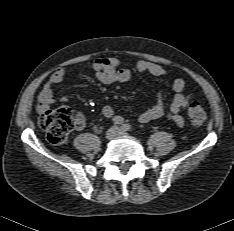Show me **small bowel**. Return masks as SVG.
<instances>
[{
  "label": "small bowel",
  "instance_id": "obj_1",
  "mask_svg": "<svg viewBox=\"0 0 234 231\" xmlns=\"http://www.w3.org/2000/svg\"><path fill=\"white\" fill-rule=\"evenodd\" d=\"M119 64V60L115 57H99L95 58L91 62L90 66L94 71L97 80L103 84L129 81L132 77L131 72L128 69L119 68ZM136 68L141 73L157 77L166 76L168 74V71L161 65L148 61H139ZM66 72V68H59L44 83L40 93L38 94L39 111H46L50 105L55 102L53 88L63 81ZM172 89L175 95L170 103L169 110H165L163 105V95L160 92L155 104L145 108L139 115V121L141 123L167 118L178 127L184 126V118L181 115V112L187 107L193 96L185 92V81L182 78H177L173 81ZM60 100L62 102H66L68 98L64 96ZM101 112L105 117L112 118V120L116 117L114 116V110L110 105H102ZM84 125L85 121L83 115L77 114L74 126L75 129L81 130Z\"/></svg>",
  "mask_w": 234,
  "mask_h": 231
}]
</instances>
